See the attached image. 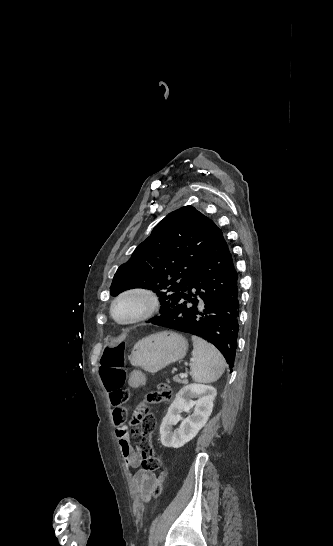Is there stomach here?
I'll return each instance as SVG.
<instances>
[{"label": "stomach", "instance_id": "stomach-1", "mask_svg": "<svg viewBox=\"0 0 333 546\" xmlns=\"http://www.w3.org/2000/svg\"><path fill=\"white\" fill-rule=\"evenodd\" d=\"M187 340L179 333L163 331L148 335L133 347L129 361L149 373H157L166 366L183 359Z\"/></svg>", "mask_w": 333, "mask_h": 546}]
</instances>
